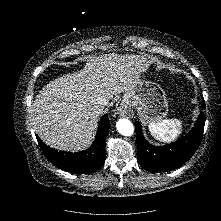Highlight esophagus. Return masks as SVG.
<instances>
[{
    "mask_svg": "<svg viewBox=\"0 0 221 221\" xmlns=\"http://www.w3.org/2000/svg\"><path fill=\"white\" fill-rule=\"evenodd\" d=\"M133 110L131 108V106L126 103V102H123L120 104L119 108H118V114L121 116V117H126V118H130L133 116Z\"/></svg>",
    "mask_w": 221,
    "mask_h": 221,
    "instance_id": "34e87169",
    "label": "esophagus"
}]
</instances>
